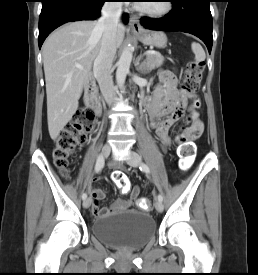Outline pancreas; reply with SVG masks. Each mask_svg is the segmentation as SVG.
Here are the masks:
<instances>
[{"mask_svg": "<svg viewBox=\"0 0 258 275\" xmlns=\"http://www.w3.org/2000/svg\"><path fill=\"white\" fill-rule=\"evenodd\" d=\"M163 57L159 54L147 55L146 60L142 63L143 71H149L160 67L163 64Z\"/></svg>", "mask_w": 258, "mask_h": 275, "instance_id": "pancreas-1", "label": "pancreas"}]
</instances>
